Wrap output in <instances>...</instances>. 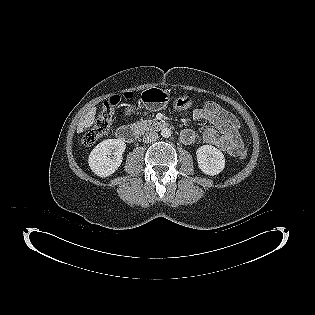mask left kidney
I'll use <instances>...</instances> for the list:
<instances>
[{"label": "left kidney", "mask_w": 315, "mask_h": 315, "mask_svg": "<svg viewBox=\"0 0 315 315\" xmlns=\"http://www.w3.org/2000/svg\"><path fill=\"white\" fill-rule=\"evenodd\" d=\"M199 169L206 175L214 176L223 171L225 158L223 153L211 145H203L196 151Z\"/></svg>", "instance_id": "1"}]
</instances>
